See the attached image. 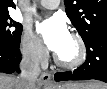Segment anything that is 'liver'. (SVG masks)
<instances>
[{
  "label": "liver",
  "instance_id": "obj_1",
  "mask_svg": "<svg viewBox=\"0 0 107 89\" xmlns=\"http://www.w3.org/2000/svg\"><path fill=\"white\" fill-rule=\"evenodd\" d=\"M74 85H78L80 89H105L102 87L106 86V84L101 82H90V83L74 84ZM0 89H21L19 77H12L5 74H1ZM33 89H38L37 85H35Z\"/></svg>",
  "mask_w": 107,
  "mask_h": 89
}]
</instances>
